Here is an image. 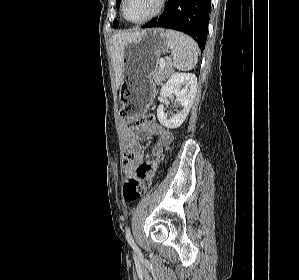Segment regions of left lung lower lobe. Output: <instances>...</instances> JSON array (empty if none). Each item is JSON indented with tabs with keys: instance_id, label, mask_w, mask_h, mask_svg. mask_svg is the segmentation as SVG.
I'll return each instance as SVG.
<instances>
[{
	"instance_id": "1",
	"label": "left lung lower lobe",
	"mask_w": 299,
	"mask_h": 280,
	"mask_svg": "<svg viewBox=\"0 0 299 280\" xmlns=\"http://www.w3.org/2000/svg\"><path fill=\"white\" fill-rule=\"evenodd\" d=\"M211 0H167L161 16L143 28L163 27L192 36L203 51L207 40Z\"/></svg>"
}]
</instances>
